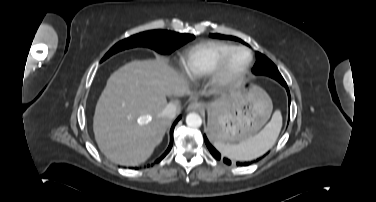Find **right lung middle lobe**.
<instances>
[{
  "mask_svg": "<svg viewBox=\"0 0 376 202\" xmlns=\"http://www.w3.org/2000/svg\"><path fill=\"white\" fill-rule=\"evenodd\" d=\"M192 39H194V35L191 34H180L167 30L146 31L115 44L107 52L102 61L121 50L137 46L149 47L163 54H170Z\"/></svg>",
  "mask_w": 376,
  "mask_h": 202,
  "instance_id": "right-lung-middle-lobe-1",
  "label": "right lung middle lobe"
}]
</instances>
